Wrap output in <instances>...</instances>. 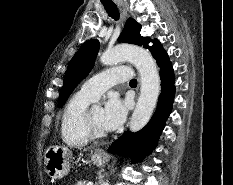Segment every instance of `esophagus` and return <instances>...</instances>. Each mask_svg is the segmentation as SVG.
Masks as SVG:
<instances>
[{
    "mask_svg": "<svg viewBox=\"0 0 233 185\" xmlns=\"http://www.w3.org/2000/svg\"><path fill=\"white\" fill-rule=\"evenodd\" d=\"M119 9H120V11H121L122 17H123L124 19H126V17H127V11H126L125 7H124L122 4H119Z\"/></svg>",
    "mask_w": 233,
    "mask_h": 185,
    "instance_id": "esophagus-1",
    "label": "esophagus"
}]
</instances>
